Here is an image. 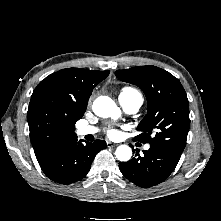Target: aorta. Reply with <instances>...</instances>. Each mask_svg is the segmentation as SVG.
Returning a JSON list of instances; mask_svg holds the SVG:
<instances>
[{"mask_svg":"<svg viewBox=\"0 0 221 221\" xmlns=\"http://www.w3.org/2000/svg\"><path fill=\"white\" fill-rule=\"evenodd\" d=\"M93 112L103 118L112 117L118 118L121 111L115 102L107 96H99L95 99L92 105ZM116 158L119 161L126 162L132 157V150L127 145H120L115 152Z\"/></svg>","mask_w":221,"mask_h":221,"instance_id":"obj_1","label":"aorta"}]
</instances>
